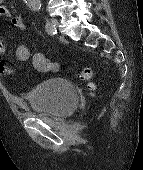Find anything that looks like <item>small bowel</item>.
<instances>
[{
    "label": "small bowel",
    "mask_w": 143,
    "mask_h": 170,
    "mask_svg": "<svg viewBox=\"0 0 143 170\" xmlns=\"http://www.w3.org/2000/svg\"><path fill=\"white\" fill-rule=\"evenodd\" d=\"M3 0H0V16L12 17V25L19 29L25 30L26 25L21 16H12V11L9 6L2 4ZM6 52V43L4 40L0 39V74H11V68L6 65L3 61V55ZM16 57L18 60L26 61L31 60L33 69L37 72H48L55 69L56 65L51 62L44 54L29 49L25 45H20L16 49Z\"/></svg>",
    "instance_id": "obj_1"
}]
</instances>
